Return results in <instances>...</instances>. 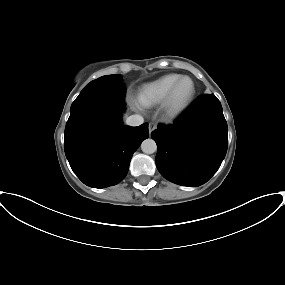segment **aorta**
Returning <instances> with one entry per match:
<instances>
[{"mask_svg": "<svg viewBox=\"0 0 285 285\" xmlns=\"http://www.w3.org/2000/svg\"><path fill=\"white\" fill-rule=\"evenodd\" d=\"M141 150L146 154H152L157 150L156 142L151 139H145L141 144Z\"/></svg>", "mask_w": 285, "mask_h": 285, "instance_id": "aorta-1", "label": "aorta"}]
</instances>
